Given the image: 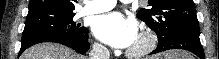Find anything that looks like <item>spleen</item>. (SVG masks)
Returning <instances> with one entry per match:
<instances>
[{"instance_id":"spleen-1","label":"spleen","mask_w":219,"mask_h":59,"mask_svg":"<svg viewBox=\"0 0 219 59\" xmlns=\"http://www.w3.org/2000/svg\"><path fill=\"white\" fill-rule=\"evenodd\" d=\"M172 59H191L186 52L176 53L171 57Z\"/></svg>"}]
</instances>
